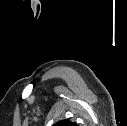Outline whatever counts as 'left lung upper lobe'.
Returning <instances> with one entry per match:
<instances>
[{"label":"left lung upper lobe","mask_w":127,"mask_h":126,"mask_svg":"<svg viewBox=\"0 0 127 126\" xmlns=\"http://www.w3.org/2000/svg\"><path fill=\"white\" fill-rule=\"evenodd\" d=\"M53 126H76V123L69 120H62L54 124Z\"/></svg>","instance_id":"left-lung-upper-lobe-1"}]
</instances>
